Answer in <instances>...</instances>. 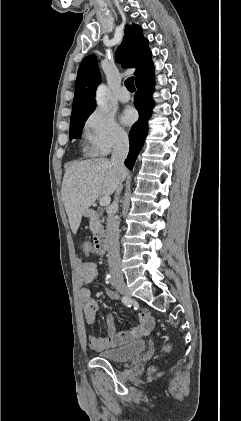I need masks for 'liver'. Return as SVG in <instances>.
<instances>
[{"mask_svg": "<svg viewBox=\"0 0 241 421\" xmlns=\"http://www.w3.org/2000/svg\"><path fill=\"white\" fill-rule=\"evenodd\" d=\"M106 158L72 163L65 171L62 182V200L70 228L76 234L82 215L100 195L110 196L126 177Z\"/></svg>", "mask_w": 241, "mask_h": 421, "instance_id": "1", "label": "liver"}]
</instances>
